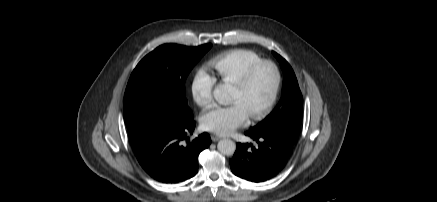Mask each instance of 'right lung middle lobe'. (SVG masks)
I'll return each mask as SVG.
<instances>
[{"label":"right lung middle lobe","instance_id":"dd1d6c3e","mask_svg":"<svg viewBox=\"0 0 437 202\" xmlns=\"http://www.w3.org/2000/svg\"><path fill=\"white\" fill-rule=\"evenodd\" d=\"M211 46L165 44L138 63L124 95V121L132 145L151 135L161 119L193 118L185 96V80Z\"/></svg>","mask_w":437,"mask_h":202}]
</instances>
